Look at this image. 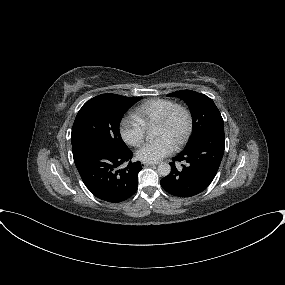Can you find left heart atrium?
<instances>
[{"mask_svg":"<svg viewBox=\"0 0 285 285\" xmlns=\"http://www.w3.org/2000/svg\"><path fill=\"white\" fill-rule=\"evenodd\" d=\"M176 144L166 136L147 142L136 153L138 160L145 163H156L170 155Z\"/></svg>","mask_w":285,"mask_h":285,"instance_id":"1","label":"left heart atrium"}]
</instances>
